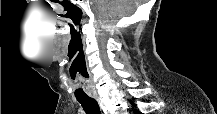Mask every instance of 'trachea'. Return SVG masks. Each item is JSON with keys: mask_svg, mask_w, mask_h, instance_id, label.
<instances>
[{"mask_svg": "<svg viewBox=\"0 0 217 114\" xmlns=\"http://www.w3.org/2000/svg\"><path fill=\"white\" fill-rule=\"evenodd\" d=\"M86 114H101L97 101L93 98L77 99Z\"/></svg>", "mask_w": 217, "mask_h": 114, "instance_id": "1", "label": "trachea"}]
</instances>
